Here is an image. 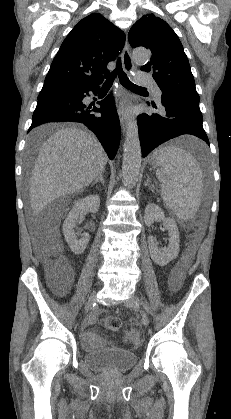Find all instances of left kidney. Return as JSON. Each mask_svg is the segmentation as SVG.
Returning a JSON list of instances; mask_svg holds the SVG:
<instances>
[{"instance_id":"obj_1","label":"left kidney","mask_w":231,"mask_h":419,"mask_svg":"<svg viewBox=\"0 0 231 419\" xmlns=\"http://www.w3.org/2000/svg\"><path fill=\"white\" fill-rule=\"evenodd\" d=\"M161 220L169 233L168 247L159 249L153 236L148 237V247L152 260L160 266L167 265L179 253V231L175 220L165 217L163 210L156 204H148L145 208L144 221L150 227L155 221Z\"/></svg>"}]
</instances>
